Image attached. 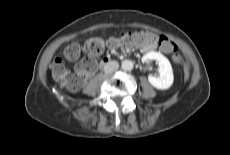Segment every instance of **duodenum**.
Listing matches in <instances>:
<instances>
[{
  "label": "duodenum",
  "mask_w": 230,
  "mask_h": 155,
  "mask_svg": "<svg viewBox=\"0 0 230 155\" xmlns=\"http://www.w3.org/2000/svg\"><path fill=\"white\" fill-rule=\"evenodd\" d=\"M109 63V60L107 59V58H105V59H103L102 61H101V66H104V65H106V64H108Z\"/></svg>",
  "instance_id": "1"
}]
</instances>
